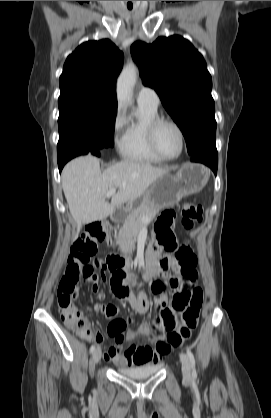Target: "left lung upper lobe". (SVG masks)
<instances>
[{
	"instance_id": "5c2ea615",
	"label": "left lung upper lobe",
	"mask_w": 271,
	"mask_h": 418,
	"mask_svg": "<svg viewBox=\"0 0 271 418\" xmlns=\"http://www.w3.org/2000/svg\"><path fill=\"white\" fill-rule=\"evenodd\" d=\"M131 53L143 83L156 90L181 129L189 155L216 147L212 78L194 46L174 35L159 37L152 44L135 42Z\"/></svg>"
}]
</instances>
